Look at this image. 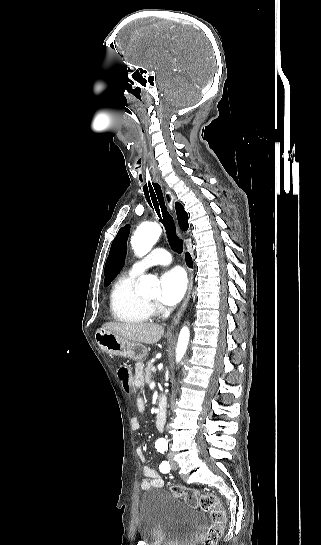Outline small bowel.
<instances>
[{
  "label": "small bowel",
  "instance_id": "obj_1",
  "mask_svg": "<svg viewBox=\"0 0 321 545\" xmlns=\"http://www.w3.org/2000/svg\"><path fill=\"white\" fill-rule=\"evenodd\" d=\"M140 378H141V375L138 374L137 382H140ZM136 407H137V410H138L139 413H141V412H143L145 410V402L143 401L142 398L137 399ZM132 427L135 430L139 429L140 421H139L138 418H133L132 419ZM137 454H138V457L141 460V462L144 463L145 462V455H144L143 449L141 447H139L137 449ZM142 472H143V475L145 476V479L141 483V488L143 490H148L150 488H162L163 487L164 482H163L160 474L157 471L153 470L151 467L144 464L143 467H142Z\"/></svg>",
  "mask_w": 321,
  "mask_h": 545
}]
</instances>
